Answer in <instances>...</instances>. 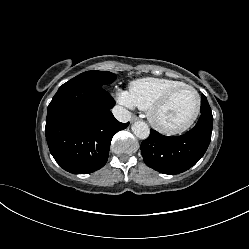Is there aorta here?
<instances>
[{
  "instance_id": "1",
  "label": "aorta",
  "mask_w": 249,
  "mask_h": 249,
  "mask_svg": "<svg viewBox=\"0 0 249 249\" xmlns=\"http://www.w3.org/2000/svg\"><path fill=\"white\" fill-rule=\"evenodd\" d=\"M135 136L140 139L148 138L150 134L149 126L143 121H136L131 127Z\"/></svg>"
}]
</instances>
